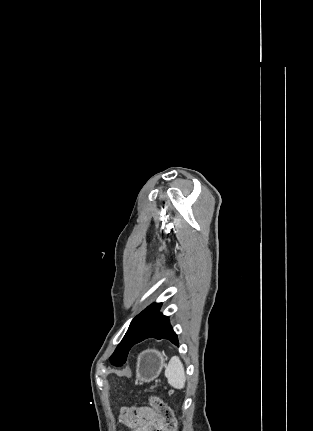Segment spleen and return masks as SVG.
Masks as SVG:
<instances>
[{"instance_id": "1", "label": "spleen", "mask_w": 313, "mask_h": 431, "mask_svg": "<svg viewBox=\"0 0 313 431\" xmlns=\"http://www.w3.org/2000/svg\"><path fill=\"white\" fill-rule=\"evenodd\" d=\"M165 376L172 387L177 389L184 388L186 376L184 366L179 357L174 356L171 358L165 369Z\"/></svg>"}]
</instances>
